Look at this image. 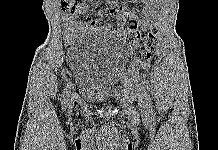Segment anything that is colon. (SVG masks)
Returning <instances> with one entry per match:
<instances>
[{
	"label": "colon",
	"instance_id": "colon-1",
	"mask_svg": "<svg viewBox=\"0 0 218 150\" xmlns=\"http://www.w3.org/2000/svg\"><path fill=\"white\" fill-rule=\"evenodd\" d=\"M82 2L83 0H63L61 2V9L64 12H73L76 6ZM157 38V28H152L145 36H142L139 30L132 29L126 34L125 40L136 54L138 60L145 62L156 48Z\"/></svg>",
	"mask_w": 218,
	"mask_h": 150
}]
</instances>
